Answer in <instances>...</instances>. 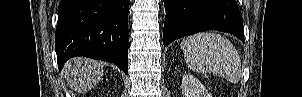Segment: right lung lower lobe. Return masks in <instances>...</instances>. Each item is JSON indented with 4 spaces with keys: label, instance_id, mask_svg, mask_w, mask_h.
<instances>
[{
    "label": "right lung lower lobe",
    "instance_id": "right-lung-lower-lobe-1",
    "mask_svg": "<svg viewBox=\"0 0 302 97\" xmlns=\"http://www.w3.org/2000/svg\"><path fill=\"white\" fill-rule=\"evenodd\" d=\"M129 0H61L55 33L58 67L74 56L116 64L128 73Z\"/></svg>",
    "mask_w": 302,
    "mask_h": 97
}]
</instances>
